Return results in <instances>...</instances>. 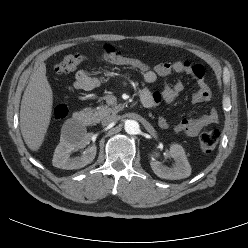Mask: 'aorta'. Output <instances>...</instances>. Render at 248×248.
Returning a JSON list of instances; mask_svg holds the SVG:
<instances>
[{"label": "aorta", "instance_id": "762f6f07", "mask_svg": "<svg viewBox=\"0 0 248 248\" xmlns=\"http://www.w3.org/2000/svg\"><path fill=\"white\" fill-rule=\"evenodd\" d=\"M124 129L130 135L137 134L139 132V123L135 120H127Z\"/></svg>", "mask_w": 248, "mask_h": 248}]
</instances>
